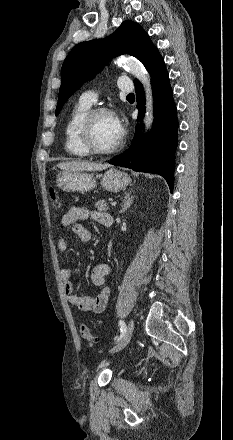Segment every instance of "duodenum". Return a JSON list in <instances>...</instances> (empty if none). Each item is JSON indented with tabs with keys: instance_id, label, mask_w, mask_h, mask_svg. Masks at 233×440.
<instances>
[{
	"instance_id": "duodenum-1",
	"label": "duodenum",
	"mask_w": 233,
	"mask_h": 440,
	"mask_svg": "<svg viewBox=\"0 0 233 440\" xmlns=\"http://www.w3.org/2000/svg\"><path fill=\"white\" fill-rule=\"evenodd\" d=\"M112 224H113V220H112V217H111V216L106 217V218L102 221V225H103L104 227H106V228H110V227L112 226Z\"/></svg>"
}]
</instances>
